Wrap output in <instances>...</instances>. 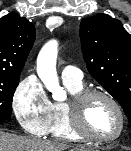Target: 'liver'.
Segmentation results:
<instances>
[{"label": "liver", "instance_id": "6515ba94", "mask_svg": "<svg viewBox=\"0 0 131 151\" xmlns=\"http://www.w3.org/2000/svg\"><path fill=\"white\" fill-rule=\"evenodd\" d=\"M70 146L59 142L21 137L0 131V151H65ZM74 151H85L75 148Z\"/></svg>", "mask_w": 131, "mask_h": 151}]
</instances>
